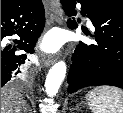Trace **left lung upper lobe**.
<instances>
[{"instance_id":"obj_1","label":"left lung upper lobe","mask_w":123,"mask_h":113,"mask_svg":"<svg viewBox=\"0 0 123 113\" xmlns=\"http://www.w3.org/2000/svg\"><path fill=\"white\" fill-rule=\"evenodd\" d=\"M111 7L117 8L123 11V0H102Z\"/></svg>"}]
</instances>
